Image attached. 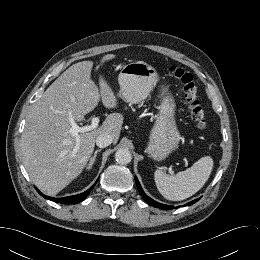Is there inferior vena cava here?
<instances>
[{"label": "inferior vena cava", "mask_w": 260, "mask_h": 260, "mask_svg": "<svg viewBox=\"0 0 260 260\" xmlns=\"http://www.w3.org/2000/svg\"><path fill=\"white\" fill-rule=\"evenodd\" d=\"M113 142V138L111 135L107 133L100 134L96 138V145L100 148H104L109 146Z\"/></svg>", "instance_id": "1"}]
</instances>
